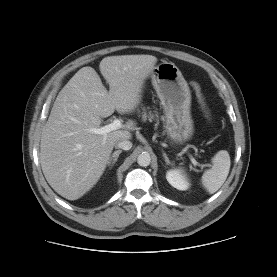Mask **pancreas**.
Wrapping results in <instances>:
<instances>
[{
    "label": "pancreas",
    "mask_w": 277,
    "mask_h": 277,
    "mask_svg": "<svg viewBox=\"0 0 277 277\" xmlns=\"http://www.w3.org/2000/svg\"><path fill=\"white\" fill-rule=\"evenodd\" d=\"M139 116H141V120L143 122H146L147 120L152 121V120H157L158 121V112L157 111H151L149 110V107H141L140 110H138Z\"/></svg>",
    "instance_id": "obj_1"
}]
</instances>
